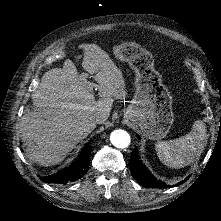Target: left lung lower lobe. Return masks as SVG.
<instances>
[{"instance_id": "left-lung-lower-lobe-1", "label": "left lung lower lobe", "mask_w": 221, "mask_h": 221, "mask_svg": "<svg viewBox=\"0 0 221 221\" xmlns=\"http://www.w3.org/2000/svg\"><path fill=\"white\" fill-rule=\"evenodd\" d=\"M140 139V137L138 136ZM130 171L135 180L141 185L148 188H170L171 186L166 185L161 180L156 179L147 169L146 167L139 161L138 158V149L135 147L130 156ZM189 177L178 183L180 185L187 181ZM175 185V186H177Z\"/></svg>"}]
</instances>
